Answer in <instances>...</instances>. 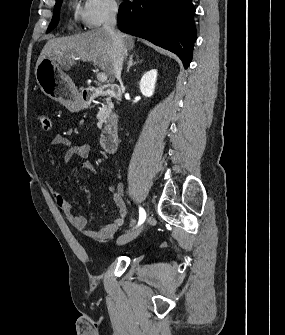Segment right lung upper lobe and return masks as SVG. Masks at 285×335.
Instances as JSON below:
<instances>
[{
	"instance_id": "right-lung-upper-lobe-1",
	"label": "right lung upper lobe",
	"mask_w": 285,
	"mask_h": 335,
	"mask_svg": "<svg viewBox=\"0 0 285 335\" xmlns=\"http://www.w3.org/2000/svg\"><path fill=\"white\" fill-rule=\"evenodd\" d=\"M60 2H62V0H56V4H58V3H60Z\"/></svg>"
}]
</instances>
